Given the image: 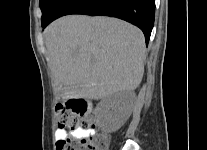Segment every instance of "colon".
<instances>
[{
  "label": "colon",
  "mask_w": 207,
  "mask_h": 150,
  "mask_svg": "<svg viewBox=\"0 0 207 150\" xmlns=\"http://www.w3.org/2000/svg\"><path fill=\"white\" fill-rule=\"evenodd\" d=\"M68 107L58 106L55 110L59 128L70 130L88 129L94 126L88 116L86 100H67ZM108 139L104 135L80 138H64L57 141V150H105Z\"/></svg>",
  "instance_id": "obj_1"
}]
</instances>
